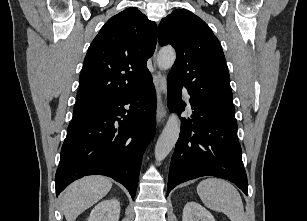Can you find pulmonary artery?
<instances>
[{
    "label": "pulmonary artery",
    "instance_id": "1",
    "mask_svg": "<svg viewBox=\"0 0 307 221\" xmlns=\"http://www.w3.org/2000/svg\"><path fill=\"white\" fill-rule=\"evenodd\" d=\"M183 95H184V98H185V100L188 102V104H189V100H190V95H189V93H188V90L187 89H183Z\"/></svg>",
    "mask_w": 307,
    "mask_h": 221
}]
</instances>
